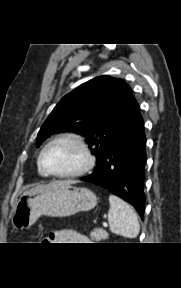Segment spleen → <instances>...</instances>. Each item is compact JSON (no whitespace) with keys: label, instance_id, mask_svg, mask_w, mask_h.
Here are the masks:
<instances>
[{"label":"spleen","instance_id":"spleen-1","mask_svg":"<svg viewBox=\"0 0 181 288\" xmlns=\"http://www.w3.org/2000/svg\"><path fill=\"white\" fill-rule=\"evenodd\" d=\"M108 222L110 231L127 238H135L140 230L134 209L115 195L109 196Z\"/></svg>","mask_w":181,"mask_h":288}]
</instances>
